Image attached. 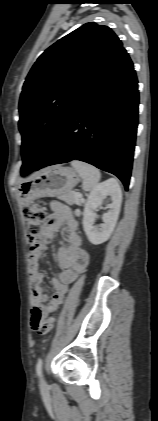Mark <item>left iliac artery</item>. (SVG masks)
Returning <instances> with one entry per match:
<instances>
[{
  "mask_svg": "<svg viewBox=\"0 0 158 421\" xmlns=\"http://www.w3.org/2000/svg\"><path fill=\"white\" fill-rule=\"evenodd\" d=\"M42 364H43V360L42 359H39L38 362H37V364H36V372H37V375L39 377L42 374Z\"/></svg>",
  "mask_w": 158,
  "mask_h": 421,
  "instance_id": "1",
  "label": "left iliac artery"
}]
</instances>
